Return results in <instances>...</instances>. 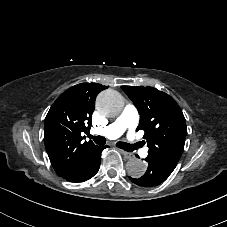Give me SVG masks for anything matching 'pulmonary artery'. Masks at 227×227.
Listing matches in <instances>:
<instances>
[{
    "instance_id": "1",
    "label": "pulmonary artery",
    "mask_w": 227,
    "mask_h": 227,
    "mask_svg": "<svg viewBox=\"0 0 227 227\" xmlns=\"http://www.w3.org/2000/svg\"><path fill=\"white\" fill-rule=\"evenodd\" d=\"M138 120L139 112L136 106L128 104L115 122L96 128L94 134L98 138L109 136L110 138L116 139L131 130L137 124ZM130 139L131 134L128 133L126 140Z\"/></svg>"
}]
</instances>
